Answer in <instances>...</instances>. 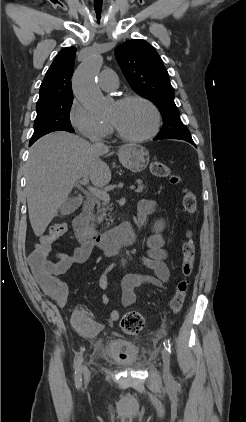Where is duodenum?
Segmentation results:
<instances>
[{
	"label": "duodenum",
	"mask_w": 246,
	"mask_h": 422,
	"mask_svg": "<svg viewBox=\"0 0 246 422\" xmlns=\"http://www.w3.org/2000/svg\"><path fill=\"white\" fill-rule=\"evenodd\" d=\"M94 206L95 202L92 198L86 199L81 211L73 220L75 235L82 244L96 247L109 256L136 242L138 232L129 223L104 233L98 232L91 223Z\"/></svg>",
	"instance_id": "duodenum-1"
}]
</instances>
